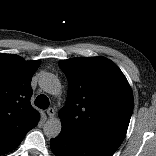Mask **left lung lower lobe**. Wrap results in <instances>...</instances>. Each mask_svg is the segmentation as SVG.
I'll return each mask as SVG.
<instances>
[{
    "instance_id": "obj_1",
    "label": "left lung lower lobe",
    "mask_w": 156,
    "mask_h": 156,
    "mask_svg": "<svg viewBox=\"0 0 156 156\" xmlns=\"http://www.w3.org/2000/svg\"><path fill=\"white\" fill-rule=\"evenodd\" d=\"M56 156H112L116 151L99 142L78 137L62 129L60 134L50 141Z\"/></svg>"
}]
</instances>
